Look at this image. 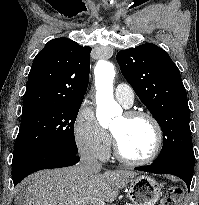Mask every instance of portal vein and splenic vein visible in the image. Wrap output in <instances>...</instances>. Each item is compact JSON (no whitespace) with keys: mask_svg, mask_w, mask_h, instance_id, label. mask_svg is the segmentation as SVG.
<instances>
[{"mask_svg":"<svg viewBox=\"0 0 199 205\" xmlns=\"http://www.w3.org/2000/svg\"><path fill=\"white\" fill-rule=\"evenodd\" d=\"M92 205H105L104 202L100 201V200H96L94 199L92 202H91Z\"/></svg>","mask_w":199,"mask_h":205,"instance_id":"obj_1","label":"portal vein and splenic vein"}]
</instances>
